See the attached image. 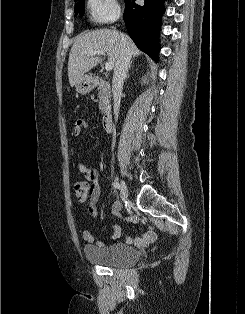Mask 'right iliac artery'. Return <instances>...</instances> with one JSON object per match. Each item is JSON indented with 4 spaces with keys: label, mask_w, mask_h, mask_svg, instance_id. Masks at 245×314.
Listing matches in <instances>:
<instances>
[{
    "label": "right iliac artery",
    "mask_w": 245,
    "mask_h": 314,
    "mask_svg": "<svg viewBox=\"0 0 245 314\" xmlns=\"http://www.w3.org/2000/svg\"><path fill=\"white\" fill-rule=\"evenodd\" d=\"M113 187H114L115 189H119V190H120V184L117 183V182H114V183H113Z\"/></svg>",
    "instance_id": "right-iliac-artery-1"
}]
</instances>
